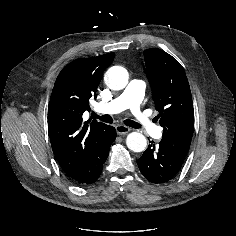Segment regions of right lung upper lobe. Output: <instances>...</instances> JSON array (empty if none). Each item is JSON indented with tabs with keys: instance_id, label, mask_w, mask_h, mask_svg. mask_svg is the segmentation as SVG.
Instances as JSON below:
<instances>
[{
	"instance_id": "1",
	"label": "right lung upper lobe",
	"mask_w": 236,
	"mask_h": 236,
	"mask_svg": "<svg viewBox=\"0 0 236 236\" xmlns=\"http://www.w3.org/2000/svg\"><path fill=\"white\" fill-rule=\"evenodd\" d=\"M114 53L80 58L69 63L58 75L48 107V131L52 150L64 172L70 176L84 163L97 137L107 127L93 121L82 122L90 111L103 71L112 63Z\"/></svg>"
}]
</instances>
